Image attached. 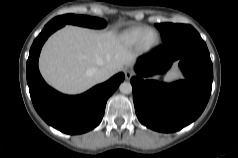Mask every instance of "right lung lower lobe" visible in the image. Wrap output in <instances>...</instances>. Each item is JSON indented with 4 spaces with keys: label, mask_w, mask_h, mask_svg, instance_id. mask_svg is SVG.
I'll use <instances>...</instances> for the list:
<instances>
[{
    "label": "right lung lower lobe",
    "mask_w": 238,
    "mask_h": 158,
    "mask_svg": "<svg viewBox=\"0 0 238 158\" xmlns=\"http://www.w3.org/2000/svg\"><path fill=\"white\" fill-rule=\"evenodd\" d=\"M63 26L48 23L34 40L26 66L27 83L33 105L46 123L63 133L81 134L99 125L107 99L124 80V74L119 73L77 96L64 95L49 87L40 75L38 58L46 39Z\"/></svg>",
    "instance_id": "right-lung-lower-lobe-1"
}]
</instances>
